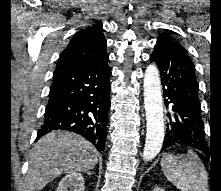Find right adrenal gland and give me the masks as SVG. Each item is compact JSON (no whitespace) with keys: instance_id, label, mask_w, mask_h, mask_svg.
Segmentation results:
<instances>
[{"instance_id":"obj_1","label":"right adrenal gland","mask_w":221,"mask_h":191,"mask_svg":"<svg viewBox=\"0 0 221 191\" xmlns=\"http://www.w3.org/2000/svg\"><path fill=\"white\" fill-rule=\"evenodd\" d=\"M87 174H88V175H91L92 173H91V172H87Z\"/></svg>"}]
</instances>
